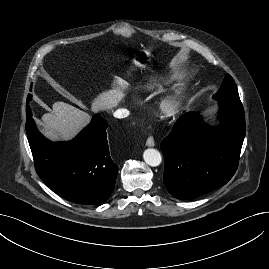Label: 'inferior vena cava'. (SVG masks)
Instances as JSON below:
<instances>
[{
  "label": "inferior vena cava",
  "mask_w": 269,
  "mask_h": 269,
  "mask_svg": "<svg viewBox=\"0 0 269 269\" xmlns=\"http://www.w3.org/2000/svg\"><path fill=\"white\" fill-rule=\"evenodd\" d=\"M130 112L127 109H118L114 112V117L116 118H125L128 117Z\"/></svg>",
  "instance_id": "602c4592"
}]
</instances>
